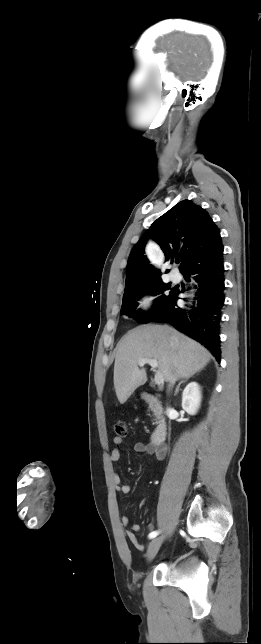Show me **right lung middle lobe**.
I'll return each instance as SVG.
<instances>
[{
	"instance_id": "right-lung-middle-lobe-1",
	"label": "right lung middle lobe",
	"mask_w": 261,
	"mask_h": 644,
	"mask_svg": "<svg viewBox=\"0 0 261 644\" xmlns=\"http://www.w3.org/2000/svg\"><path fill=\"white\" fill-rule=\"evenodd\" d=\"M166 290H170L169 293H164ZM176 293L177 289L171 288L170 283H163L162 280L131 286L125 289L121 307V314L131 316L139 323L151 322L156 316H158L165 310ZM144 294H151L153 296L159 295L155 299L154 308L152 309V311H150V313H144L141 310L136 309V300H138Z\"/></svg>"
}]
</instances>
